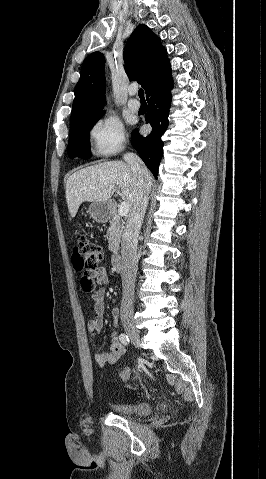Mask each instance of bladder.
<instances>
[{
  "label": "bladder",
  "instance_id": "1",
  "mask_svg": "<svg viewBox=\"0 0 266 479\" xmlns=\"http://www.w3.org/2000/svg\"><path fill=\"white\" fill-rule=\"evenodd\" d=\"M112 409L120 415H144L151 412V406L147 402H130L112 404Z\"/></svg>",
  "mask_w": 266,
  "mask_h": 479
}]
</instances>
